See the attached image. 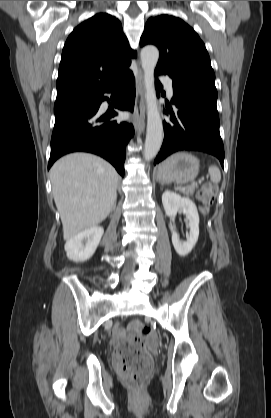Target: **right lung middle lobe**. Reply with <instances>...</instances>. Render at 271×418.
<instances>
[{
    "label": "right lung middle lobe",
    "instance_id": "obj_1",
    "mask_svg": "<svg viewBox=\"0 0 271 418\" xmlns=\"http://www.w3.org/2000/svg\"><path fill=\"white\" fill-rule=\"evenodd\" d=\"M93 99H95V98L74 100V101H68V102H62V103H55L54 112L56 113V112H58V111H60L64 108L74 106V105H77V104H81V103H84V102H88V101H91Z\"/></svg>",
    "mask_w": 271,
    "mask_h": 418
}]
</instances>
